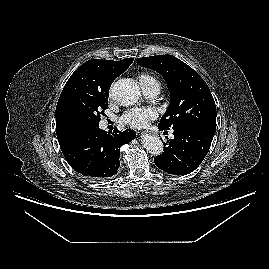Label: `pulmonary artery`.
<instances>
[{
  "label": "pulmonary artery",
  "mask_w": 269,
  "mask_h": 269,
  "mask_svg": "<svg viewBox=\"0 0 269 269\" xmlns=\"http://www.w3.org/2000/svg\"><path fill=\"white\" fill-rule=\"evenodd\" d=\"M143 94L148 98H155L160 93V84L156 80L141 82Z\"/></svg>",
  "instance_id": "1"
}]
</instances>
